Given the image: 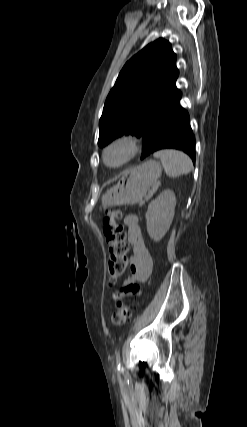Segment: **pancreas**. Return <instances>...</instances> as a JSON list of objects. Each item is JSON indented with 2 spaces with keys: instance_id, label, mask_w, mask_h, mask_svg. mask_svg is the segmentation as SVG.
Returning <instances> with one entry per match:
<instances>
[{
  "instance_id": "obj_1",
  "label": "pancreas",
  "mask_w": 247,
  "mask_h": 427,
  "mask_svg": "<svg viewBox=\"0 0 247 427\" xmlns=\"http://www.w3.org/2000/svg\"><path fill=\"white\" fill-rule=\"evenodd\" d=\"M158 184H154L153 188L151 191L148 192V194L145 196L144 201H147L151 198V196L153 195V193L155 192L156 188H157ZM144 201H141V204L144 203Z\"/></svg>"
}]
</instances>
